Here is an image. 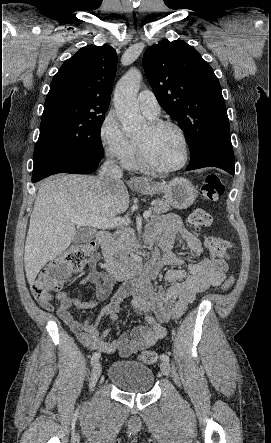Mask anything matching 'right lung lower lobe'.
<instances>
[{
	"label": "right lung lower lobe",
	"instance_id": "right-lung-lower-lobe-1",
	"mask_svg": "<svg viewBox=\"0 0 271 443\" xmlns=\"http://www.w3.org/2000/svg\"><path fill=\"white\" fill-rule=\"evenodd\" d=\"M102 158L96 151L51 150L34 161L32 182H38L56 173H92Z\"/></svg>",
	"mask_w": 271,
	"mask_h": 443
}]
</instances>
